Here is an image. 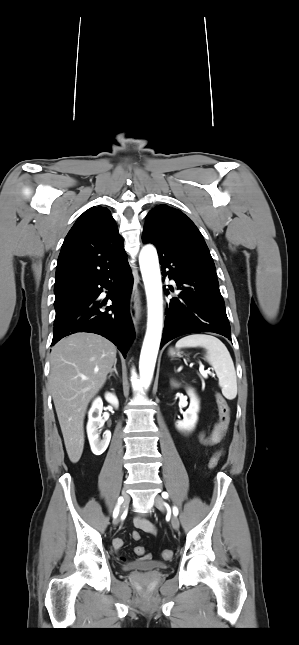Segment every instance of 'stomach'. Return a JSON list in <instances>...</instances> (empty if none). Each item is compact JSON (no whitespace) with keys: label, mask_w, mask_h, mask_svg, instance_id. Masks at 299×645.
<instances>
[{"label":"stomach","mask_w":299,"mask_h":645,"mask_svg":"<svg viewBox=\"0 0 299 645\" xmlns=\"http://www.w3.org/2000/svg\"><path fill=\"white\" fill-rule=\"evenodd\" d=\"M169 355L174 357V356H179L180 353L178 351H174L173 349L169 350Z\"/></svg>","instance_id":"0dacf381"}]
</instances>
